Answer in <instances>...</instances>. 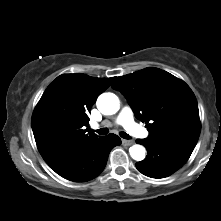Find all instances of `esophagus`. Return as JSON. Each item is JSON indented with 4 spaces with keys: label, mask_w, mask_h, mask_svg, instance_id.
Returning a JSON list of instances; mask_svg holds the SVG:
<instances>
[{
    "label": "esophagus",
    "mask_w": 221,
    "mask_h": 221,
    "mask_svg": "<svg viewBox=\"0 0 221 221\" xmlns=\"http://www.w3.org/2000/svg\"><path fill=\"white\" fill-rule=\"evenodd\" d=\"M134 142L131 140H122V144L125 146H130L132 145Z\"/></svg>",
    "instance_id": "obj_1"
}]
</instances>
